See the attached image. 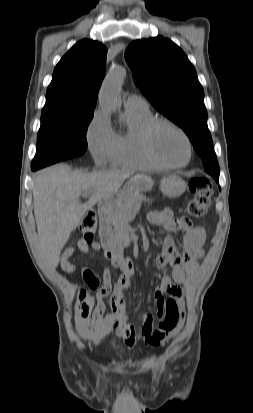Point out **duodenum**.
Segmentation results:
<instances>
[{"label":"duodenum","mask_w":253,"mask_h":413,"mask_svg":"<svg viewBox=\"0 0 253 413\" xmlns=\"http://www.w3.org/2000/svg\"><path fill=\"white\" fill-rule=\"evenodd\" d=\"M111 209V205L107 200H103L98 205L100 215L106 214ZM100 236L103 241L105 251L111 257L119 258L122 255L123 249L111 237L109 228L102 224L100 228Z\"/></svg>","instance_id":"1"}]
</instances>
